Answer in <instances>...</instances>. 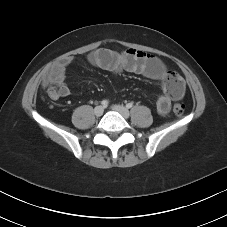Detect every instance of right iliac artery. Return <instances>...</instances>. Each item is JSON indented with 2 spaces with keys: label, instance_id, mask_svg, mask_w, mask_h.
I'll return each mask as SVG.
<instances>
[{
  "label": "right iliac artery",
  "instance_id": "1",
  "mask_svg": "<svg viewBox=\"0 0 227 227\" xmlns=\"http://www.w3.org/2000/svg\"><path fill=\"white\" fill-rule=\"evenodd\" d=\"M108 101L107 100H103V101H101V104L105 107V106H107L108 105Z\"/></svg>",
  "mask_w": 227,
  "mask_h": 227
}]
</instances>
